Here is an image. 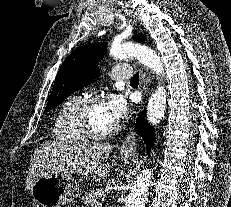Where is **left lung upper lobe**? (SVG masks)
Instances as JSON below:
<instances>
[{
	"instance_id": "5c2ea615",
	"label": "left lung upper lobe",
	"mask_w": 231,
	"mask_h": 207,
	"mask_svg": "<svg viewBox=\"0 0 231 207\" xmlns=\"http://www.w3.org/2000/svg\"><path fill=\"white\" fill-rule=\"evenodd\" d=\"M142 42L146 37L140 33L133 37ZM106 43L86 44L72 52L62 64L49 97L45 111L58 106L70 94L90 84L100 75L96 64L106 54Z\"/></svg>"
}]
</instances>
